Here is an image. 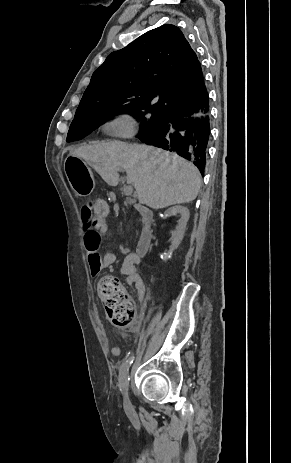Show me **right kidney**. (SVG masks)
I'll use <instances>...</instances> for the list:
<instances>
[{
    "mask_svg": "<svg viewBox=\"0 0 291 463\" xmlns=\"http://www.w3.org/2000/svg\"><path fill=\"white\" fill-rule=\"evenodd\" d=\"M175 214L180 215V220L176 229L172 231L170 252L174 251L181 243L190 216L189 210L184 206H174L164 212L165 216Z\"/></svg>",
    "mask_w": 291,
    "mask_h": 463,
    "instance_id": "obj_1",
    "label": "right kidney"
}]
</instances>
